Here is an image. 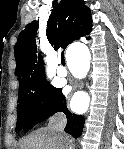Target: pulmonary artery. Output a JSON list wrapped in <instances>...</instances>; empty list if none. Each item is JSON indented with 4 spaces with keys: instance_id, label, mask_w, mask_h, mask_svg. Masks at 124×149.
I'll return each mask as SVG.
<instances>
[{
    "instance_id": "1",
    "label": "pulmonary artery",
    "mask_w": 124,
    "mask_h": 149,
    "mask_svg": "<svg viewBox=\"0 0 124 149\" xmlns=\"http://www.w3.org/2000/svg\"><path fill=\"white\" fill-rule=\"evenodd\" d=\"M58 74H59L60 76H65V75L67 74V71H66V69H59V70H58Z\"/></svg>"
}]
</instances>
